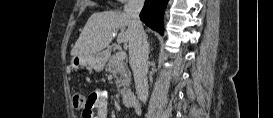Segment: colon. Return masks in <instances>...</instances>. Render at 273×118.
<instances>
[{"label": "colon", "mask_w": 273, "mask_h": 118, "mask_svg": "<svg viewBox=\"0 0 273 118\" xmlns=\"http://www.w3.org/2000/svg\"><path fill=\"white\" fill-rule=\"evenodd\" d=\"M72 100L74 108L77 110H82L83 114V112L87 109L88 100H86L80 92H75Z\"/></svg>", "instance_id": "obj_1"}]
</instances>
